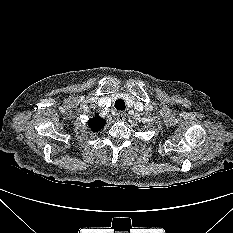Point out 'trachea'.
<instances>
[{
	"mask_svg": "<svg viewBox=\"0 0 233 233\" xmlns=\"http://www.w3.org/2000/svg\"><path fill=\"white\" fill-rule=\"evenodd\" d=\"M115 108L119 111H123L125 110V102L122 100V99H118L116 102H115Z\"/></svg>",
	"mask_w": 233,
	"mask_h": 233,
	"instance_id": "obj_1",
	"label": "trachea"
}]
</instances>
